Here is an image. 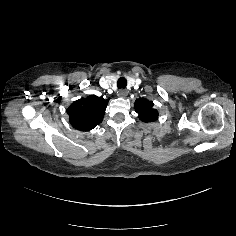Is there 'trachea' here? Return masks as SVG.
<instances>
[{
	"label": "trachea",
	"mask_w": 236,
	"mask_h": 236,
	"mask_svg": "<svg viewBox=\"0 0 236 236\" xmlns=\"http://www.w3.org/2000/svg\"><path fill=\"white\" fill-rule=\"evenodd\" d=\"M127 85V81L124 77H120L117 81V87L119 89H124Z\"/></svg>",
	"instance_id": "1"
}]
</instances>
